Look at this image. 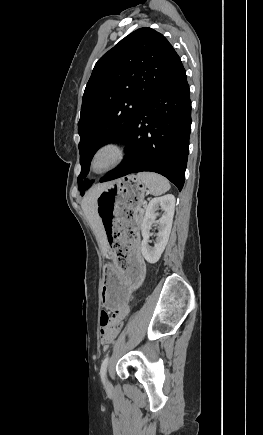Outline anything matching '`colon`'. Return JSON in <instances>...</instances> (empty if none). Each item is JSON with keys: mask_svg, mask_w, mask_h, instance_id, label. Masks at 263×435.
<instances>
[{"mask_svg": "<svg viewBox=\"0 0 263 435\" xmlns=\"http://www.w3.org/2000/svg\"><path fill=\"white\" fill-rule=\"evenodd\" d=\"M106 321H112V318L110 317L108 312L102 311L101 315H100V325H101L100 337H101V342L104 345H108L113 340L111 335H108L107 330L104 328V323ZM118 328L119 329H124L123 321H118Z\"/></svg>", "mask_w": 263, "mask_h": 435, "instance_id": "colon-1", "label": "colon"}]
</instances>
